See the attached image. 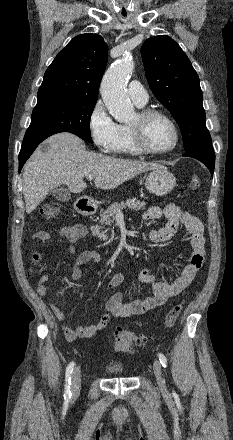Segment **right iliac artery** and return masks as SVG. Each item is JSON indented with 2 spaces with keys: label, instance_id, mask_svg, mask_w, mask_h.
<instances>
[{
  "label": "right iliac artery",
  "instance_id": "82829eb1",
  "mask_svg": "<svg viewBox=\"0 0 233 440\" xmlns=\"http://www.w3.org/2000/svg\"><path fill=\"white\" fill-rule=\"evenodd\" d=\"M75 366V363L72 361L68 364L66 368V374H65V392H64V398L69 399L71 398V374L73 372V368Z\"/></svg>",
  "mask_w": 233,
  "mask_h": 440
}]
</instances>
